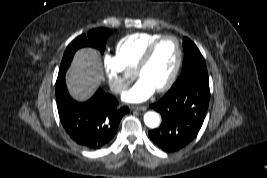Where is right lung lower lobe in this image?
Wrapping results in <instances>:
<instances>
[{"label": "right lung lower lobe", "instance_id": "right-lung-lower-lobe-1", "mask_svg": "<svg viewBox=\"0 0 267 178\" xmlns=\"http://www.w3.org/2000/svg\"><path fill=\"white\" fill-rule=\"evenodd\" d=\"M55 93L65 131L76 144L90 150L105 147L129 111L128 107H119L117 99L101 89L88 101L77 102L67 91L65 72L58 74Z\"/></svg>", "mask_w": 267, "mask_h": 178}]
</instances>
